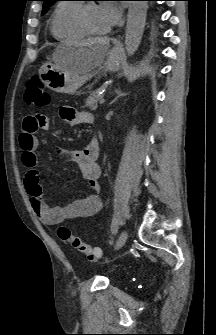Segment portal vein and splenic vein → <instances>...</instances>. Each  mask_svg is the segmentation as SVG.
<instances>
[{"mask_svg":"<svg viewBox=\"0 0 216 335\" xmlns=\"http://www.w3.org/2000/svg\"><path fill=\"white\" fill-rule=\"evenodd\" d=\"M105 99L104 98H101V100H100V104H104L105 103Z\"/></svg>","mask_w":216,"mask_h":335,"instance_id":"obj_1","label":"portal vein and splenic vein"}]
</instances>
